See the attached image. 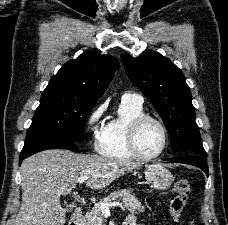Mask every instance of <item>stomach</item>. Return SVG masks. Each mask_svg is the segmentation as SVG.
I'll list each match as a JSON object with an SVG mask.
<instances>
[{
	"label": "stomach",
	"instance_id": "1",
	"mask_svg": "<svg viewBox=\"0 0 228 225\" xmlns=\"http://www.w3.org/2000/svg\"><path fill=\"white\" fill-rule=\"evenodd\" d=\"M146 181L150 183L154 189L159 191H166L171 187L174 177L171 175L168 169H165L161 163H152V165H146L145 173Z\"/></svg>",
	"mask_w": 228,
	"mask_h": 225
}]
</instances>
